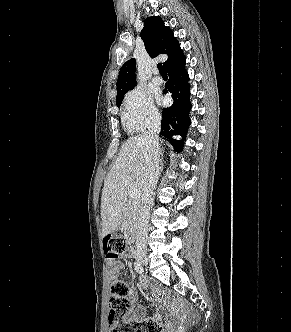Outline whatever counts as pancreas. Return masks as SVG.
<instances>
[{
	"label": "pancreas",
	"instance_id": "cf45deb5",
	"mask_svg": "<svg viewBox=\"0 0 291 332\" xmlns=\"http://www.w3.org/2000/svg\"><path fill=\"white\" fill-rule=\"evenodd\" d=\"M139 207V203L135 201H131L124 206L122 223V228L124 229V231L130 232L134 228L138 216Z\"/></svg>",
	"mask_w": 291,
	"mask_h": 332
}]
</instances>
